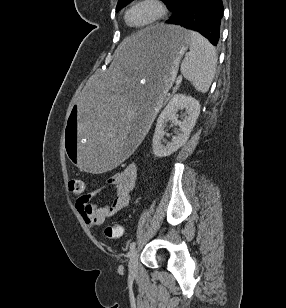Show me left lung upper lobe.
Returning a JSON list of instances; mask_svg holds the SVG:
<instances>
[{
	"instance_id": "1",
	"label": "left lung upper lobe",
	"mask_w": 286,
	"mask_h": 308,
	"mask_svg": "<svg viewBox=\"0 0 286 308\" xmlns=\"http://www.w3.org/2000/svg\"><path fill=\"white\" fill-rule=\"evenodd\" d=\"M131 1L132 0H118V4H117V7H116V12L119 11L124 6H126ZM162 1L166 4L167 8L169 9L173 0H162Z\"/></svg>"
}]
</instances>
